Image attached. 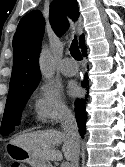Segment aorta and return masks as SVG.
<instances>
[{"label":"aorta","instance_id":"aorta-1","mask_svg":"<svg viewBox=\"0 0 125 167\" xmlns=\"http://www.w3.org/2000/svg\"><path fill=\"white\" fill-rule=\"evenodd\" d=\"M40 68H41L43 77H45L46 79L52 78L54 74V69H53L50 54L46 50H43L41 53Z\"/></svg>","mask_w":125,"mask_h":167}]
</instances>
